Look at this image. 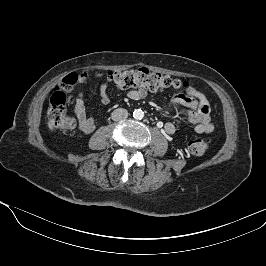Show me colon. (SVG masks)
<instances>
[{"mask_svg":"<svg viewBox=\"0 0 266 266\" xmlns=\"http://www.w3.org/2000/svg\"><path fill=\"white\" fill-rule=\"evenodd\" d=\"M87 79V74H69L61 84L53 91L47 116L49 122L63 131H71L76 127V121L67 114V108L71 104V90L77 82ZM109 81L121 89L135 87L148 88L153 91L166 89H185L188 84L170 76L151 71L145 67L139 69L117 70L108 73ZM210 142L207 139H193L188 144V150L193 155H204L208 152Z\"/></svg>","mask_w":266,"mask_h":266,"instance_id":"obj_1","label":"colon"}]
</instances>
